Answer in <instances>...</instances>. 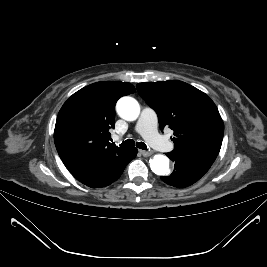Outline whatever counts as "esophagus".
Wrapping results in <instances>:
<instances>
[{
    "label": "esophagus",
    "mask_w": 267,
    "mask_h": 267,
    "mask_svg": "<svg viewBox=\"0 0 267 267\" xmlns=\"http://www.w3.org/2000/svg\"><path fill=\"white\" fill-rule=\"evenodd\" d=\"M140 153H141L144 157H148V156L152 155V152H151V151L140 150Z\"/></svg>",
    "instance_id": "obj_1"
}]
</instances>
